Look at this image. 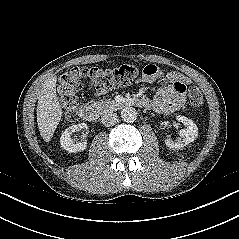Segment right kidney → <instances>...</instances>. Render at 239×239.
I'll use <instances>...</instances> for the list:
<instances>
[{
  "instance_id": "1",
  "label": "right kidney",
  "mask_w": 239,
  "mask_h": 239,
  "mask_svg": "<svg viewBox=\"0 0 239 239\" xmlns=\"http://www.w3.org/2000/svg\"><path fill=\"white\" fill-rule=\"evenodd\" d=\"M87 125L85 123L71 125L62 133L60 138V144L63 149L68 151L69 153H76L86 149L87 142H78L75 143L74 140L71 138V134L79 131L81 129H87Z\"/></svg>"
}]
</instances>
